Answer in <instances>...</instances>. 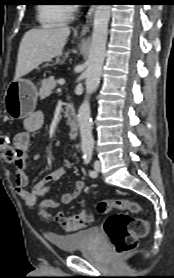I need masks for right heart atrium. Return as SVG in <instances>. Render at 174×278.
<instances>
[{"label":"right heart atrium","instance_id":"d8ad5b80","mask_svg":"<svg viewBox=\"0 0 174 278\" xmlns=\"http://www.w3.org/2000/svg\"><path fill=\"white\" fill-rule=\"evenodd\" d=\"M71 7V10L72 12L75 10V6H70Z\"/></svg>","mask_w":174,"mask_h":278}]
</instances>
